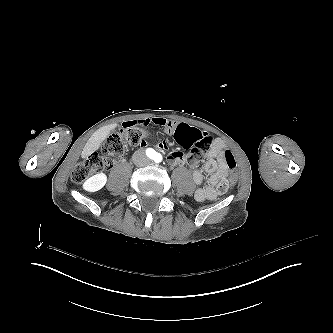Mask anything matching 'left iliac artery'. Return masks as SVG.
I'll list each match as a JSON object with an SVG mask.
<instances>
[{
	"label": "left iliac artery",
	"instance_id": "obj_1",
	"mask_svg": "<svg viewBox=\"0 0 333 333\" xmlns=\"http://www.w3.org/2000/svg\"><path fill=\"white\" fill-rule=\"evenodd\" d=\"M161 160H162V156H161V154L156 153V154H155V157H154V161H155L156 163H159V162H161Z\"/></svg>",
	"mask_w": 333,
	"mask_h": 333
}]
</instances>
